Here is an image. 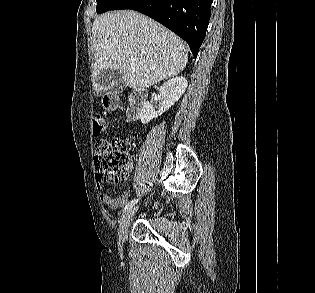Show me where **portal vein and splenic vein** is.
I'll use <instances>...</instances> for the list:
<instances>
[{
  "label": "portal vein and splenic vein",
  "instance_id": "1",
  "mask_svg": "<svg viewBox=\"0 0 315 293\" xmlns=\"http://www.w3.org/2000/svg\"><path fill=\"white\" fill-rule=\"evenodd\" d=\"M129 62H130V65H131V66H133V65L135 64V61H134L133 58H130V59H129Z\"/></svg>",
  "mask_w": 315,
  "mask_h": 293
}]
</instances>
